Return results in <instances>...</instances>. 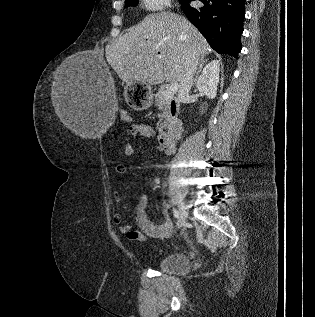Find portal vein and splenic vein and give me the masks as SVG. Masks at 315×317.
I'll list each match as a JSON object with an SVG mask.
<instances>
[{"label": "portal vein and splenic vein", "mask_w": 315, "mask_h": 317, "mask_svg": "<svg viewBox=\"0 0 315 317\" xmlns=\"http://www.w3.org/2000/svg\"><path fill=\"white\" fill-rule=\"evenodd\" d=\"M177 89H178V84L172 83L166 90V96L168 98H171L176 93Z\"/></svg>", "instance_id": "portal-vein-and-splenic-vein-1"}]
</instances>
